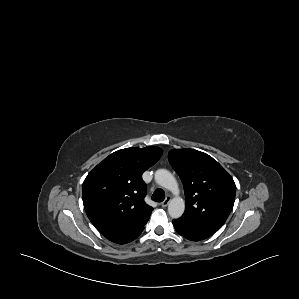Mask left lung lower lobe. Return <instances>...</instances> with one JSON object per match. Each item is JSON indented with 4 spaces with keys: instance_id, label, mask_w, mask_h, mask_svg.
<instances>
[{
    "instance_id": "obj_1",
    "label": "left lung lower lobe",
    "mask_w": 299,
    "mask_h": 299,
    "mask_svg": "<svg viewBox=\"0 0 299 299\" xmlns=\"http://www.w3.org/2000/svg\"><path fill=\"white\" fill-rule=\"evenodd\" d=\"M173 225L178 234L191 241H200L210 237L213 234L204 228L189 225L186 220L181 218L173 220Z\"/></svg>"
}]
</instances>
